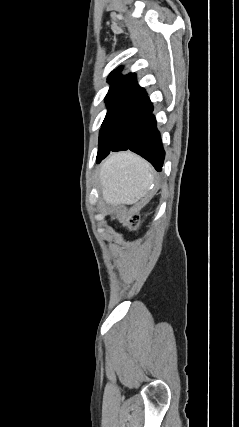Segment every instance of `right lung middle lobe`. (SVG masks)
Here are the masks:
<instances>
[{"label":"right lung middle lobe","instance_id":"obj_1","mask_svg":"<svg viewBox=\"0 0 239 427\" xmlns=\"http://www.w3.org/2000/svg\"><path fill=\"white\" fill-rule=\"evenodd\" d=\"M106 117L99 134V148L96 161L105 158L110 151L129 146L134 131L151 110L147 100L127 98L106 100Z\"/></svg>","mask_w":239,"mask_h":427}]
</instances>
